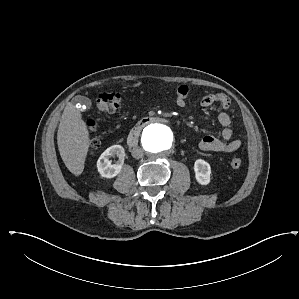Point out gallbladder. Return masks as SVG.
<instances>
[{"instance_id": "gallbladder-1", "label": "gallbladder", "mask_w": 299, "mask_h": 299, "mask_svg": "<svg viewBox=\"0 0 299 299\" xmlns=\"http://www.w3.org/2000/svg\"><path fill=\"white\" fill-rule=\"evenodd\" d=\"M73 103L74 104H82V105H85L86 107H90L91 100L87 97H84V96H76L73 99Z\"/></svg>"}]
</instances>
